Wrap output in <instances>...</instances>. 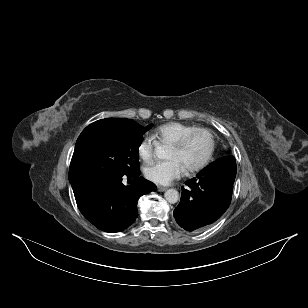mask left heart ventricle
Instances as JSON below:
<instances>
[{"mask_svg":"<svg viewBox=\"0 0 308 308\" xmlns=\"http://www.w3.org/2000/svg\"><path fill=\"white\" fill-rule=\"evenodd\" d=\"M210 147L209 136L205 133L196 134L182 149L169 147L167 158L178 159L185 169H189L200 163L206 156Z\"/></svg>","mask_w":308,"mask_h":308,"instance_id":"b2bd125f","label":"left heart ventricle"}]
</instances>
